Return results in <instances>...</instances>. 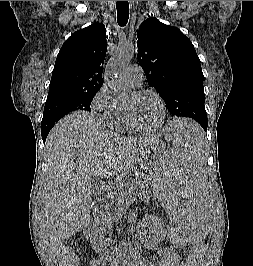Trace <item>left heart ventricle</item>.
<instances>
[{"label":"left heart ventricle","instance_id":"obj_1","mask_svg":"<svg viewBox=\"0 0 253 266\" xmlns=\"http://www.w3.org/2000/svg\"><path fill=\"white\" fill-rule=\"evenodd\" d=\"M126 106L132 110L138 124L142 127H154L160 121L161 107L153 95L136 96L131 93L126 101Z\"/></svg>","mask_w":253,"mask_h":266}]
</instances>
